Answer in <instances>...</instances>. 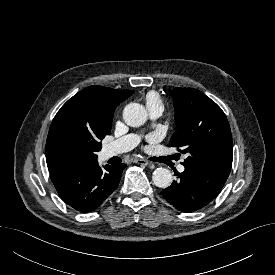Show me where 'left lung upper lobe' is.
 I'll use <instances>...</instances> for the list:
<instances>
[{
    "label": "left lung upper lobe",
    "instance_id": "1",
    "mask_svg": "<svg viewBox=\"0 0 275 275\" xmlns=\"http://www.w3.org/2000/svg\"><path fill=\"white\" fill-rule=\"evenodd\" d=\"M171 95L177 131L170 140V146L188 155L182 164L229 174L232 166V135L222 109L193 88H175Z\"/></svg>",
    "mask_w": 275,
    "mask_h": 275
}]
</instances>
